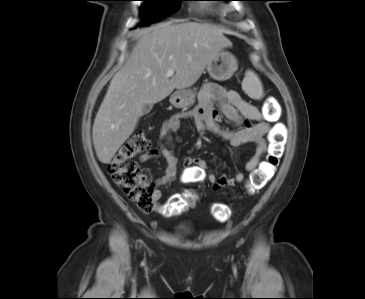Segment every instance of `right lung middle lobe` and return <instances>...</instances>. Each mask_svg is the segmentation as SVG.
I'll return each instance as SVG.
<instances>
[{"instance_id": "right-lung-middle-lobe-1", "label": "right lung middle lobe", "mask_w": 365, "mask_h": 299, "mask_svg": "<svg viewBox=\"0 0 365 299\" xmlns=\"http://www.w3.org/2000/svg\"><path fill=\"white\" fill-rule=\"evenodd\" d=\"M148 3L143 7L142 17L144 23L140 26H148L153 22L162 20L178 10L177 1L180 0H144Z\"/></svg>"}]
</instances>
